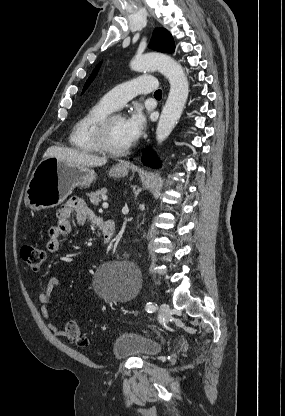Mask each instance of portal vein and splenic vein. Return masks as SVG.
I'll list each match as a JSON object with an SVG mask.
<instances>
[{"label": "portal vein and splenic vein", "mask_w": 285, "mask_h": 416, "mask_svg": "<svg viewBox=\"0 0 285 416\" xmlns=\"http://www.w3.org/2000/svg\"><path fill=\"white\" fill-rule=\"evenodd\" d=\"M109 204H107V202H103L102 204V208H108Z\"/></svg>", "instance_id": "1"}]
</instances>
